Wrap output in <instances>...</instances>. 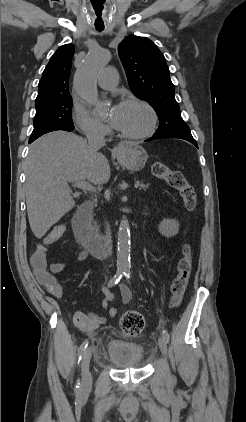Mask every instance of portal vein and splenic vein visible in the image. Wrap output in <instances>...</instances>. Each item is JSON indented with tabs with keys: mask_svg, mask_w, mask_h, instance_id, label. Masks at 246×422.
Masks as SVG:
<instances>
[{
	"mask_svg": "<svg viewBox=\"0 0 246 422\" xmlns=\"http://www.w3.org/2000/svg\"><path fill=\"white\" fill-rule=\"evenodd\" d=\"M73 185L85 191L96 192V189L87 181L75 182ZM139 186H140L139 183H136L134 185L135 188H138Z\"/></svg>",
	"mask_w": 246,
	"mask_h": 422,
	"instance_id": "portal-vein-and-splenic-vein-1",
	"label": "portal vein and splenic vein"
}]
</instances>
